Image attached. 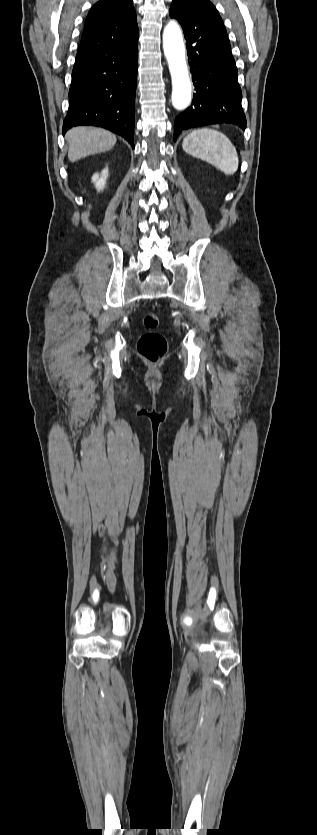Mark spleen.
<instances>
[{"label":"spleen","instance_id":"obj_1","mask_svg":"<svg viewBox=\"0 0 317 835\" xmlns=\"http://www.w3.org/2000/svg\"><path fill=\"white\" fill-rule=\"evenodd\" d=\"M183 150L231 176L239 166L237 151L230 139L214 129L200 128L189 133L182 142Z\"/></svg>","mask_w":317,"mask_h":835}]
</instances>
